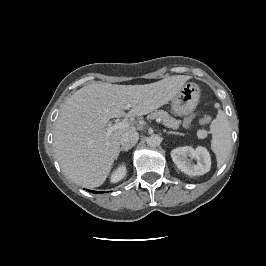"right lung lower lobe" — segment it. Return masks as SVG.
Segmentation results:
<instances>
[{
    "label": "right lung lower lobe",
    "instance_id": "right-lung-lower-lobe-1",
    "mask_svg": "<svg viewBox=\"0 0 266 266\" xmlns=\"http://www.w3.org/2000/svg\"><path fill=\"white\" fill-rule=\"evenodd\" d=\"M88 191L93 192V193H97L96 191H91V190H88Z\"/></svg>",
    "mask_w": 266,
    "mask_h": 266
}]
</instances>
